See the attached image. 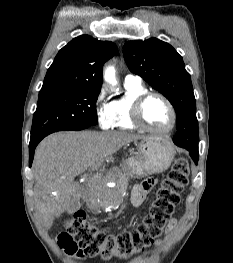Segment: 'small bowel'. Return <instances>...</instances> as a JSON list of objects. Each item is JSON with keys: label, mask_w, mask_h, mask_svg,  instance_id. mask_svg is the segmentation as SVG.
<instances>
[{"label": "small bowel", "mask_w": 233, "mask_h": 263, "mask_svg": "<svg viewBox=\"0 0 233 263\" xmlns=\"http://www.w3.org/2000/svg\"><path fill=\"white\" fill-rule=\"evenodd\" d=\"M155 185V180L154 179H147L141 184L136 185L133 188L132 195H131V202L135 206H139L142 204L144 201L145 197L147 196L148 192L152 189V187ZM177 224L176 219H171L169 220L166 230H171L173 229ZM160 241L156 242V245H158Z\"/></svg>", "instance_id": "small-bowel-1"}]
</instances>
